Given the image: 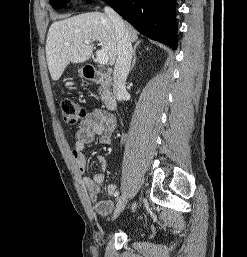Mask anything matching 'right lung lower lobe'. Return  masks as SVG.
<instances>
[{
	"mask_svg": "<svg viewBox=\"0 0 247 257\" xmlns=\"http://www.w3.org/2000/svg\"><path fill=\"white\" fill-rule=\"evenodd\" d=\"M141 34L177 49L175 0H104Z\"/></svg>",
	"mask_w": 247,
	"mask_h": 257,
	"instance_id": "98d812e1",
	"label": "right lung lower lobe"
}]
</instances>
